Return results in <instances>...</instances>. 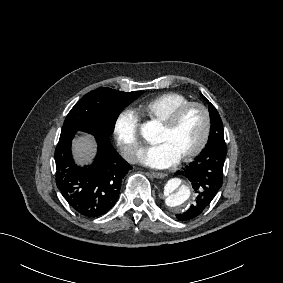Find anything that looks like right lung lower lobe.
Returning a JSON list of instances; mask_svg holds the SVG:
<instances>
[{"label":"right lung lower lobe","instance_id":"98d812e1","mask_svg":"<svg viewBox=\"0 0 283 283\" xmlns=\"http://www.w3.org/2000/svg\"><path fill=\"white\" fill-rule=\"evenodd\" d=\"M76 131L61 132L55 150L56 184L69 205L85 217H99L116 203L122 181L132 169L109 139L95 137L98 152L92 164L77 166L71 155Z\"/></svg>","mask_w":283,"mask_h":283}]
</instances>
